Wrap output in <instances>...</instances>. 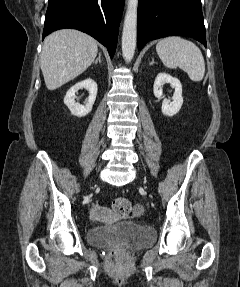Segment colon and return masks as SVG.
<instances>
[{
	"instance_id": "1",
	"label": "colon",
	"mask_w": 240,
	"mask_h": 287,
	"mask_svg": "<svg viewBox=\"0 0 240 287\" xmlns=\"http://www.w3.org/2000/svg\"><path fill=\"white\" fill-rule=\"evenodd\" d=\"M112 211L117 217H126L132 211L131 202L123 197L116 198L112 203ZM115 259L120 260V255L115 254Z\"/></svg>"
}]
</instances>
